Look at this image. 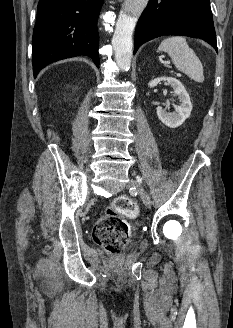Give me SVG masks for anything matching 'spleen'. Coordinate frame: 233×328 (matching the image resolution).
<instances>
[{
	"label": "spleen",
	"mask_w": 233,
	"mask_h": 328,
	"mask_svg": "<svg viewBox=\"0 0 233 328\" xmlns=\"http://www.w3.org/2000/svg\"><path fill=\"white\" fill-rule=\"evenodd\" d=\"M158 50L168 53L175 67L189 78L199 83L204 81L202 63L184 37L173 36L164 39Z\"/></svg>",
	"instance_id": "1"
}]
</instances>
